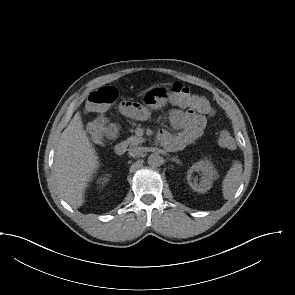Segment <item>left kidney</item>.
Instances as JSON below:
<instances>
[{"label":"left kidney","mask_w":295,"mask_h":295,"mask_svg":"<svg viewBox=\"0 0 295 295\" xmlns=\"http://www.w3.org/2000/svg\"><path fill=\"white\" fill-rule=\"evenodd\" d=\"M194 172H201V181L198 183L195 178H193ZM218 176V173L214 169L213 165L209 161H199L193 164L187 172L188 184L199 193L207 192ZM193 179V180H192Z\"/></svg>","instance_id":"5707ae66"}]
</instances>
